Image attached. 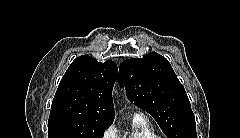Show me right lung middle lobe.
<instances>
[{
    "instance_id": "obj_1",
    "label": "right lung middle lobe",
    "mask_w": 240,
    "mask_h": 138,
    "mask_svg": "<svg viewBox=\"0 0 240 138\" xmlns=\"http://www.w3.org/2000/svg\"><path fill=\"white\" fill-rule=\"evenodd\" d=\"M109 125L72 116L52 117L48 121V138H103Z\"/></svg>"
}]
</instances>
